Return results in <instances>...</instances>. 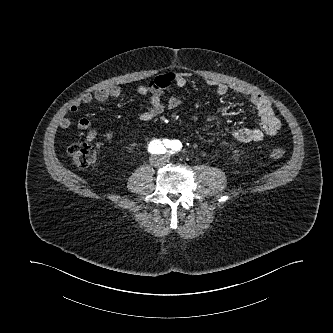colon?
<instances>
[{
	"label": "colon",
	"mask_w": 333,
	"mask_h": 333,
	"mask_svg": "<svg viewBox=\"0 0 333 333\" xmlns=\"http://www.w3.org/2000/svg\"><path fill=\"white\" fill-rule=\"evenodd\" d=\"M92 138H87L85 142H79L71 145L68 154L77 167H87L93 164L97 159V151L91 143ZM286 151L283 148H275L261 154L263 159L274 160L285 156Z\"/></svg>",
	"instance_id": "colon-1"
}]
</instances>
